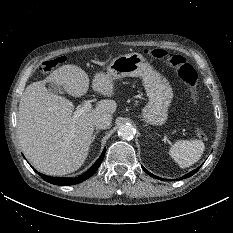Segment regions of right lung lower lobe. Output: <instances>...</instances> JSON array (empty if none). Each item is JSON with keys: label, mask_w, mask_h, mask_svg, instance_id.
Wrapping results in <instances>:
<instances>
[{"label": "right lung lower lobe", "mask_w": 233, "mask_h": 233, "mask_svg": "<svg viewBox=\"0 0 233 233\" xmlns=\"http://www.w3.org/2000/svg\"><path fill=\"white\" fill-rule=\"evenodd\" d=\"M105 148L101 154V156L99 157V159L93 164V166H91L83 175L76 177V178H62V177H49L46 175L41 174V177L51 183V184H55V185H73V184H77L80 183L84 180H86L87 178H89L90 176H92L95 171L98 169V167L100 166L104 155H105ZM40 175V173H38Z\"/></svg>", "instance_id": "right-lung-lower-lobe-1"}]
</instances>
